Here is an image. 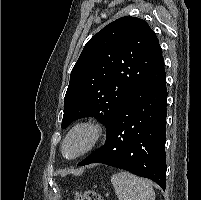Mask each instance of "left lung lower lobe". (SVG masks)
Returning a JSON list of instances; mask_svg holds the SVG:
<instances>
[{"label":"left lung lower lobe","instance_id":"left-lung-lower-lobe-1","mask_svg":"<svg viewBox=\"0 0 201 200\" xmlns=\"http://www.w3.org/2000/svg\"><path fill=\"white\" fill-rule=\"evenodd\" d=\"M166 73L163 57L120 103L106 143L77 166L102 163L166 186Z\"/></svg>","mask_w":201,"mask_h":200}]
</instances>
